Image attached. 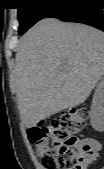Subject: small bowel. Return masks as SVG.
<instances>
[{"label": "small bowel", "mask_w": 104, "mask_h": 169, "mask_svg": "<svg viewBox=\"0 0 104 169\" xmlns=\"http://www.w3.org/2000/svg\"><path fill=\"white\" fill-rule=\"evenodd\" d=\"M89 140L95 145V151L98 154L101 150V144L94 139H89Z\"/></svg>", "instance_id": "obj_1"}]
</instances>
